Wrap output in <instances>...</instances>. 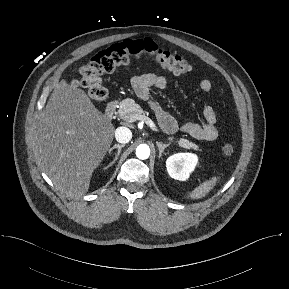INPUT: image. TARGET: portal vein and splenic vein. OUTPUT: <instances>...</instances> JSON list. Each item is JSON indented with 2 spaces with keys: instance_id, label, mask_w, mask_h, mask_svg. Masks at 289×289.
<instances>
[{
  "instance_id": "18ae733b",
  "label": "portal vein and splenic vein",
  "mask_w": 289,
  "mask_h": 289,
  "mask_svg": "<svg viewBox=\"0 0 289 289\" xmlns=\"http://www.w3.org/2000/svg\"><path fill=\"white\" fill-rule=\"evenodd\" d=\"M136 120H141V121L145 122L151 129H153L155 131L157 130V127H156L155 123L149 117H147L146 115H136L133 118H131L129 120V122H133V121H136Z\"/></svg>"
}]
</instances>
